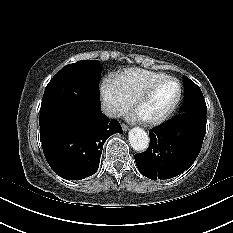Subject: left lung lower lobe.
<instances>
[{
  "mask_svg": "<svg viewBox=\"0 0 233 233\" xmlns=\"http://www.w3.org/2000/svg\"><path fill=\"white\" fill-rule=\"evenodd\" d=\"M206 132V113L184 112L149 131L150 146L135 154L145 177L157 180L178 176L197 158Z\"/></svg>",
  "mask_w": 233,
  "mask_h": 233,
  "instance_id": "0a47b994",
  "label": "left lung lower lobe"
}]
</instances>
